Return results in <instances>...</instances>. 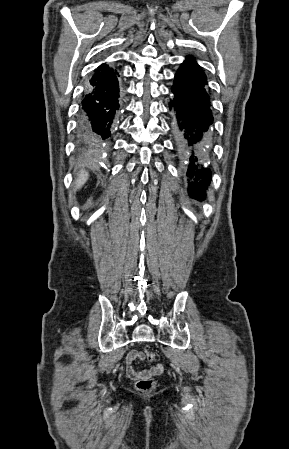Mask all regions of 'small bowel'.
I'll return each instance as SVG.
<instances>
[{"label": "small bowel", "instance_id": "c3829d8e", "mask_svg": "<svg viewBox=\"0 0 289 449\" xmlns=\"http://www.w3.org/2000/svg\"><path fill=\"white\" fill-rule=\"evenodd\" d=\"M145 358V353L132 350L126 356V364H127V375L131 379L137 380L141 377L154 376L159 375L163 371V366L161 364H157L148 369H136L133 364L136 360H143Z\"/></svg>", "mask_w": 289, "mask_h": 449}]
</instances>
